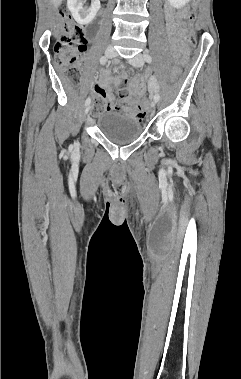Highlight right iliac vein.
Returning a JSON list of instances; mask_svg holds the SVG:
<instances>
[{"mask_svg": "<svg viewBox=\"0 0 241 379\" xmlns=\"http://www.w3.org/2000/svg\"><path fill=\"white\" fill-rule=\"evenodd\" d=\"M105 55L108 57V58H113L116 56V51L115 49L112 47V46H108L106 49H105ZM90 105H87L86 109H85V113L87 114L89 111H90Z\"/></svg>", "mask_w": 241, "mask_h": 379, "instance_id": "1", "label": "right iliac vein"}]
</instances>
